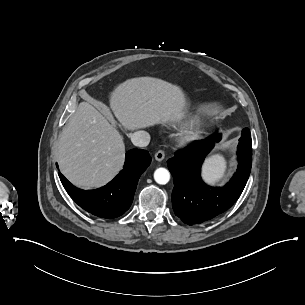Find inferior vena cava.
<instances>
[{"label":"inferior vena cava","mask_w":305,"mask_h":305,"mask_svg":"<svg viewBox=\"0 0 305 305\" xmlns=\"http://www.w3.org/2000/svg\"><path fill=\"white\" fill-rule=\"evenodd\" d=\"M131 142L137 147H146L150 142V135L146 131H135L131 135Z\"/></svg>","instance_id":"602c4592"}]
</instances>
